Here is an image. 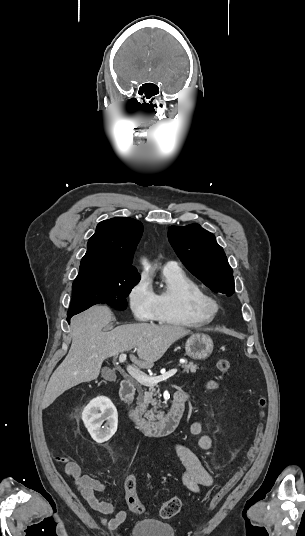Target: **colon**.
<instances>
[{
	"mask_svg": "<svg viewBox=\"0 0 305 536\" xmlns=\"http://www.w3.org/2000/svg\"><path fill=\"white\" fill-rule=\"evenodd\" d=\"M217 369L223 373H227L230 370L231 362L227 358H222L217 361ZM267 405V400L264 396H261L257 400V407L259 409V420L257 423V427L255 430L254 438L252 445L250 449L247 452L246 459L242 465V467L219 489V491L214 495L212 501H211V508L217 507L220 502L224 499V497L228 494V492L240 481V479L243 477L245 471L250 466L256 451L262 441L263 437V419L265 414V408ZM126 481L124 483V497L125 502L127 506L135 513L142 514L146 511L145 506L140 501L139 496L137 494V487H136V481L135 476L133 474H128L126 476ZM181 503L180 500L177 497H172L165 501L160 509L159 514L161 518L163 519H170L176 513H178L180 509Z\"/></svg>",
	"mask_w": 305,
	"mask_h": 536,
	"instance_id": "colon-1",
	"label": "colon"
}]
</instances>
